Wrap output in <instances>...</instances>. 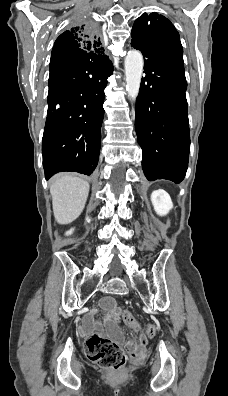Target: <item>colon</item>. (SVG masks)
I'll list each match as a JSON object with an SVG mask.
<instances>
[{
	"label": "colon",
	"mask_w": 228,
	"mask_h": 396,
	"mask_svg": "<svg viewBox=\"0 0 228 396\" xmlns=\"http://www.w3.org/2000/svg\"><path fill=\"white\" fill-rule=\"evenodd\" d=\"M124 322L133 329L140 326L134 316L127 310L122 312ZM144 335L153 337L156 334V327L148 324L143 329ZM86 350L89 359L100 367L117 372L121 370L126 362V357L120 345L100 333L91 335L86 341Z\"/></svg>",
	"instance_id": "colon-1"
}]
</instances>
